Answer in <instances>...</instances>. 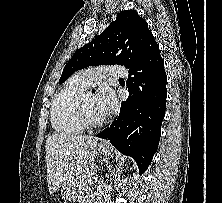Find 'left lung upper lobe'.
<instances>
[{
	"label": "left lung upper lobe",
	"mask_w": 222,
	"mask_h": 203,
	"mask_svg": "<svg viewBox=\"0 0 222 203\" xmlns=\"http://www.w3.org/2000/svg\"><path fill=\"white\" fill-rule=\"evenodd\" d=\"M149 34L147 22L135 10L121 11L103 33L74 53L59 83L88 66L119 64L129 69L139 59Z\"/></svg>",
	"instance_id": "left-lung-upper-lobe-1"
}]
</instances>
